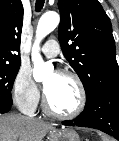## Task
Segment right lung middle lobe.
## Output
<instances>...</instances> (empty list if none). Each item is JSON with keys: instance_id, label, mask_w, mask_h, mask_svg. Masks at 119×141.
<instances>
[{"instance_id": "obj_1", "label": "right lung middle lobe", "mask_w": 119, "mask_h": 141, "mask_svg": "<svg viewBox=\"0 0 119 141\" xmlns=\"http://www.w3.org/2000/svg\"><path fill=\"white\" fill-rule=\"evenodd\" d=\"M20 64H0V102L12 103L11 90Z\"/></svg>"}]
</instances>
